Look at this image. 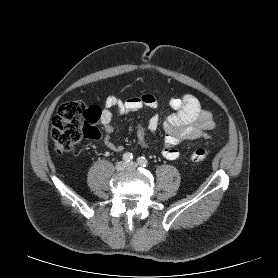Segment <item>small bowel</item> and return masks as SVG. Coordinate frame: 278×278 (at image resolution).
<instances>
[{
	"instance_id": "1",
	"label": "small bowel",
	"mask_w": 278,
	"mask_h": 278,
	"mask_svg": "<svg viewBox=\"0 0 278 278\" xmlns=\"http://www.w3.org/2000/svg\"><path fill=\"white\" fill-rule=\"evenodd\" d=\"M157 105L156 97L150 93L126 100H122L117 96L107 97L101 114L105 145L114 152H121L123 150L122 145L115 144L111 140L113 110H116L119 114H128L142 108H156ZM169 107L173 110V113L162 123L165 132L162 155L166 159L175 160L180 156L177 148L180 142L207 138L209 131L214 129L215 122L212 113L202 107L200 101L191 94L171 97ZM160 124L159 116L153 115L149 119L146 129L143 127L138 128L137 138L142 147H148L146 130L154 132L159 128Z\"/></svg>"
}]
</instances>
